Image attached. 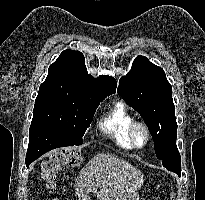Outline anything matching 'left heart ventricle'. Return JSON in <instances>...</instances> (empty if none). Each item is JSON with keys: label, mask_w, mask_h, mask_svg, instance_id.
<instances>
[{"label": "left heart ventricle", "mask_w": 205, "mask_h": 200, "mask_svg": "<svg viewBox=\"0 0 205 200\" xmlns=\"http://www.w3.org/2000/svg\"><path fill=\"white\" fill-rule=\"evenodd\" d=\"M136 140L138 142V144L142 145L145 142V135L143 133V131L139 130L136 134Z\"/></svg>", "instance_id": "left-heart-ventricle-1"}]
</instances>
